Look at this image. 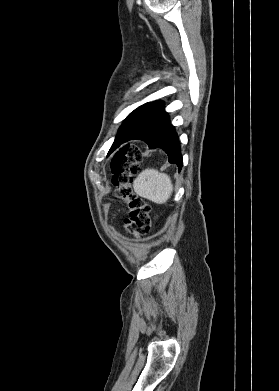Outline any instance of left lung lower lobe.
I'll return each mask as SVG.
<instances>
[{
    "label": "left lung lower lobe",
    "mask_w": 279,
    "mask_h": 391,
    "mask_svg": "<svg viewBox=\"0 0 279 391\" xmlns=\"http://www.w3.org/2000/svg\"><path fill=\"white\" fill-rule=\"evenodd\" d=\"M132 139L145 141L149 148H161L167 155L170 163L176 164L181 170L183 160L181 156L180 143L175 128L170 124L168 114L158 122L139 134L126 135L121 144Z\"/></svg>",
    "instance_id": "0a47b994"
}]
</instances>
